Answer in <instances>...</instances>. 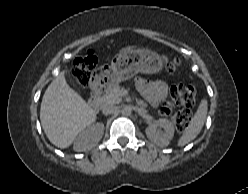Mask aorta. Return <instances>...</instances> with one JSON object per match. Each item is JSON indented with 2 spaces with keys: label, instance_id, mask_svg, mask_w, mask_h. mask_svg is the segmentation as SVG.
Here are the masks:
<instances>
[{
  "label": "aorta",
  "instance_id": "1",
  "mask_svg": "<svg viewBox=\"0 0 248 194\" xmlns=\"http://www.w3.org/2000/svg\"><path fill=\"white\" fill-rule=\"evenodd\" d=\"M132 110L130 106H124L121 110L122 115L129 116L131 114Z\"/></svg>",
  "mask_w": 248,
  "mask_h": 194
}]
</instances>
